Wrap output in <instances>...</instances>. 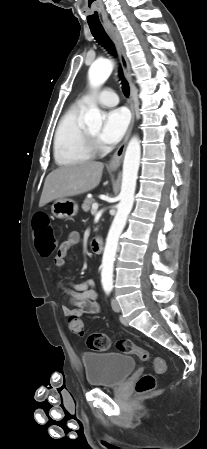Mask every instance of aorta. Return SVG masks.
<instances>
[{
	"instance_id": "762f6f07",
	"label": "aorta",
	"mask_w": 207,
	"mask_h": 449,
	"mask_svg": "<svg viewBox=\"0 0 207 449\" xmlns=\"http://www.w3.org/2000/svg\"><path fill=\"white\" fill-rule=\"evenodd\" d=\"M112 70L113 63L108 59L94 62L88 71L90 86L94 89L99 88L109 78ZM84 122L88 127L101 128L102 115L96 105H90L89 110L85 114ZM140 156V140L137 137H133L129 141L125 152L122 185L119 195L120 202L117 205V212L108 232L104 248L101 270V282L103 286H111L113 284V269L118 241L133 207Z\"/></svg>"
}]
</instances>
